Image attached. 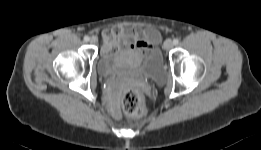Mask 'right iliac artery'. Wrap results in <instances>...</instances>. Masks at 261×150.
<instances>
[{
    "label": "right iliac artery",
    "mask_w": 261,
    "mask_h": 150,
    "mask_svg": "<svg viewBox=\"0 0 261 150\" xmlns=\"http://www.w3.org/2000/svg\"><path fill=\"white\" fill-rule=\"evenodd\" d=\"M89 39H90L89 36H84V41L87 42V41H89Z\"/></svg>",
    "instance_id": "right-iliac-artery-1"
}]
</instances>
